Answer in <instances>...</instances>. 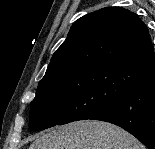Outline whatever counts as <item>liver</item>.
Masks as SVG:
<instances>
[{"label":"liver","instance_id":"6515ba94","mask_svg":"<svg viewBox=\"0 0 155 149\" xmlns=\"http://www.w3.org/2000/svg\"><path fill=\"white\" fill-rule=\"evenodd\" d=\"M29 149H145L124 129L103 121H75L37 138Z\"/></svg>","mask_w":155,"mask_h":149}]
</instances>
